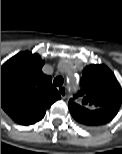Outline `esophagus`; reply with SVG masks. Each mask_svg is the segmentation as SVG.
<instances>
[{
	"label": "esophagus",
	"instance_id": "esophagus-1",
	"mask_svg": "<svg viewBox=\"0 0 122 154\" xmlns=\"http://www.w3.org/2000/svg\"><path fill=\"white\" fill-rule=\"evenodd\" d=\"M58 92L60 93L62 98H66L67 96V89L65 86H61L58 88Z\"/></svg>",
	"mask_w": 122,
	"mask_h": 154
}]
</instances>
